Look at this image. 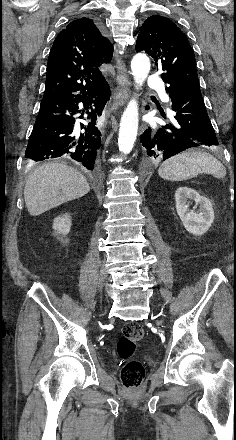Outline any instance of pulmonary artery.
Listing matches in <instances>:
<instances>
[{
    "label": "pulmonary artery",
    "mask_w": 236,
    "mask_h": 440,
    "mask_svg": "<svg viewBox=\"0 0 236 440\" xmlns=\"http://www.w3.org/2000/svg\"><path fill=\"white\" fill-rule=\"evenodd\" d=\"M163 85H164V82L162 81V79L158 78V77L155 76V75H152V76L147 80V86H148L150 89H155V90H159V91L163 92V90H164ZM163 99H164L165 101H168V100H169L168 96L165 95V94H164Z\"/></svg>",
    "instance_id": "e3ab8cb5"
}]
</instances>
